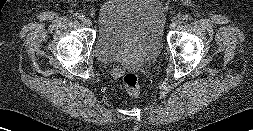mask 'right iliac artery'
I'll use <instances>...</instances> for the list:
<instances>
[{
	"instance_id": "1",
	"label": "right iliac artery",
	"mask_w": 253,
	"mask_h": 131,
	"mask_svg": "<svg viewBox=\"0 0 253 131\" xmlns=\"http://www.w3.org/2000/svg\"><path fill=\"white\" fill-rule=\"evenodd\" d=\"M73 17H74V19H77V20H80V19L84 18L83 15H81L80 13H77V12L73 14Z\"/></svg>"
}]
</instances>
